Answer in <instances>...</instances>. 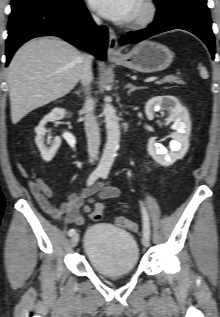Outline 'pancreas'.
Wrapping results in <instances>:
<instances>
[{"mask_svg": "<svg viewBox=\"0 0 220 317\" xmlns=\"http://www.w3.org/2000/svg\"><path fill=\"white\" fill-rule=\"evenodd\" d=\"M157 84H162V83H178V84H182V80L177 77V76H173V75H169L167 77H165L163 80L156 82Z\"/></svg>", "mask_w": 220, "mask_h": 317, "instance_id": "1", "label": "pancreas"}]
</instances>
